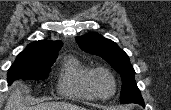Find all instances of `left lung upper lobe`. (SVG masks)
<instances>
[{"label":"left lung upper lobe","mask_w":171,"mask_h":110,"mask_svg":"<svg viewBox=\"0 0 171 110\" xmlns=\"http://www.w3.org/2000/svg\"><path fill=\"white\" fill-rule=\"evenodd\" d=\"M76 41L82 50L102 57L121 74L122 104H144L135 81V71L130 63L129 57L115 42L102 37L98 33H88L81 37H76Z\"/></svg>","instance_id":"obj_1"}]
</instances>
